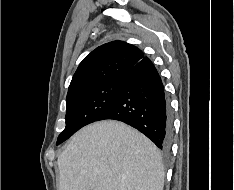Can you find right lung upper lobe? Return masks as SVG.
I'll use <instances>...</instances> for the list:
<instances>
[{
	"label": "right lung upper lobe",
	"mask_w": 234,
	"mask_h": 190,
	"mask_svg": "<svg viewBox=\"0 0 234 190\" xmlns=\"http://www.w3.org/2000/svg\"><path fill=\"white\" fill-rule=\"evenodd\" d=\"M144 58L142 51L123 41H112L97 47L78 66L67 97L81 90L123 79Z\"/></svg>",
	"instance_id": "1"
}]
</instances>
